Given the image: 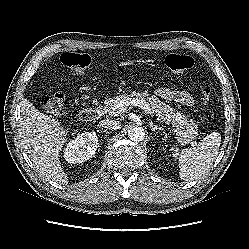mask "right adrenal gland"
<instances>
[{"instance_id":"right-adrenal-gland-1","label":"right adrenal gland","mask_w":249,"mask_h":249,"mask_svg":"<svg viewBox=\"0 0 249 249\" xmlns=\"http://www.w3.org/2000/svg\"><path fill=\"white\" fill-rule=\"evenodd\" d=\"M100 127V126H99ZM101 130H103L105 133H108L106 130H104L103 128H101Z\"/></svg>"}]
</instances>
